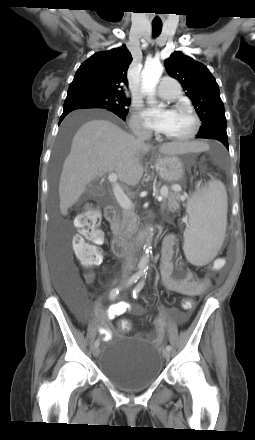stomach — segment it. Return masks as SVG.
Segmentation results:
<instances>
[{
	"label": "stomach",
	"mask_w": 255,
	"mask_h": 440,
	"mask_svg": "<svg viewBox=\"0 0 255 440\" xmlns=\"http://www.w3.org/2000/svg\"><path fill=\"white\" fill-rule=\"evenodd\" d=\"M155 168L159 176L168 182L180 181L185 174V168L178 156H158L155 159Z\"/></svg>",
	"instance_id": "stomach-1"
}]
</instances>
